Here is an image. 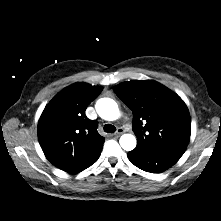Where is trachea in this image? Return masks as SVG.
<instances>
[{
	"label": "trachea",
	"mask_w": 221,
	"mask_h": 221,
	"mask_svg": "<svg viewBox=\"0 0 221 221\" xmlns=\"http://www.w3.org/2000/svg\"><path fill=\"white\" fill-rule=\"evenodd\" d=\"M104 131L107 133H114L116 131V127L111 124L104 125Z\"/></svg>",
	"instance_id": "3493384b"
}]
</instances>
